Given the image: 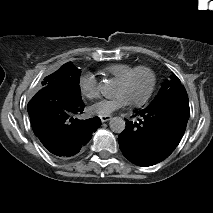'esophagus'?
Returning a JSON list of instances; mask_svg holds the SVG:
<instances>
[{
    "mask_svg": "<svg viewBox=\"0 0 213 213\" xmlns=\"http://www.w3.org/2000/svg\"><path fill=\"white\" fill-rule=\"evenodd\" d=\"M100 119L102 122H107L111 119V116L110 115H101Z\"/></svg>",
    "mask_w": 213,
    "mask_h": 213,
    "instance_id": "1",
    "label": "esophagus"
}]
</instances>
